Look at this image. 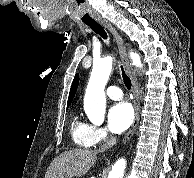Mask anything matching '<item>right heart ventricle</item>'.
<instances>
[{"label": "right heart ventricle", "instance_id": "e07e8e85", "mask_svg": "<svg viewBox=\"0 0 194 178\" xmlns=\"http://www.w3.org/2000/svg\"><path fill=\"white\" fill-rule=\"evenodd\" d=\"M90 126L85 123L78 115H75L71 121V137L73 142L80 147H90L88 141Z\"/></svg>", "mask_w": 194, "mask_h": 178}]
</instances>
